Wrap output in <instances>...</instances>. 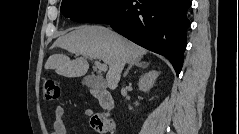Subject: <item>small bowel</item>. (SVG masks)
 Here are the masks:
<instances>
[{
    "label": "small bowel",
    "instance_id": "small-bowel-1",
    "mask_svg": "<svg viewBox=\"0 0 239 134\" xmlns=\"http://www.w3.org/2000/svg\"><path fill=\"white\" fill-rule=\"evenodd\" d=\"M55 119L53 122L52 134H67V129L63 121L64 108L61 105L56 106L54 110ZM84 117H91L93 111L91 109H85L83 111Z\"/></svg>",
    "mask_w": 239,
    "mask_h": 134
}]
</instances>
